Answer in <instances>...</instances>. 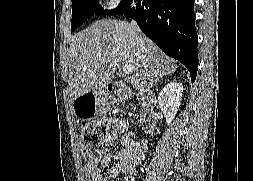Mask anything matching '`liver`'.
Returning a JSON list of instances; mask_svg holds the SVG:
<instances>
[{"label": "liver", "instance_id": "liver-1", "mask_svg": "<svg viewBox=\"0 0 253 181\" xmlns=\"http://www.w3.org/2000/svg\"><path fill=\"white\" fill-rule=\"evenodd\" d=\"M68 87L71 100L113 81L122 64L134 67L132 86L140 91L153 87L176 71L174 61L142 32L126 21L100 20L77 33L68 51Z\"/></svg>", "mask_w": 253, "mask_h": 181}]
</instances>
